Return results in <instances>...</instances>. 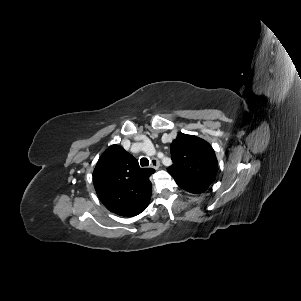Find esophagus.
<instances>
[{
    "mask_svg": "<svg viewBox=\"0 0 301 301\" xmlns=\"http://www.w3.org/2000/svg\"><path fill=\"white\" fill-rule=\"evenodd\" d=\"M150 166L154 169H158L160 166V161L157 158H152L150 162Z\"/></svg>",
    "mask_w": 301,
    "mask_h": 301,
    "instance_id": "34e87169",
    "label": "esophagus"
}]
</instances>
